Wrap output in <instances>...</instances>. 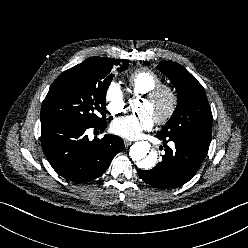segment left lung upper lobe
<instances>
[{"label": "left lung upper lobe", "mask_w": 248, "mask_h": 248, "mask_svg": "<svg viewBox=\"0 0 248 248\" xmlns=\"http://www.w3.org/2000/svg\"><path fill=\"white\" fill-rule=\"evenodd\" d=\"M144 64L149 65L148 62ZM158 69L171 80L179 94L176 110L159 133L209 146L212 113L204 88L176 62L161 61Z\"/></svg>", "instance_id": "1"}]
</instances>
